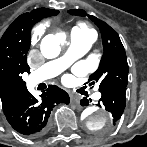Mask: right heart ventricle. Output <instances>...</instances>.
Masks as SVG:
<instances>
[{
  "instance_id": "right-heart-ventricle-1",
  "label": "right heart ventricle",
  "mask_w": 147,
  "mask_h": 147,
  "mask_svg": "<svg viewBox=\"0 0 147 147\" xmlns=\"http://www.w3.org/2000/svg\"><path fill=\"white\" fill-rule=\"evenodd\" d=\"M73 32H77L79 34L87 35V36H92L95 38V33L86 23H79L78 26H76L73 29Z\"/></svg>"
}]
</instances>
